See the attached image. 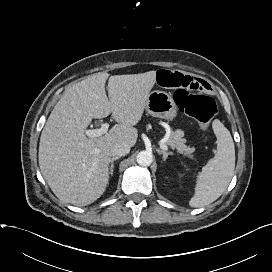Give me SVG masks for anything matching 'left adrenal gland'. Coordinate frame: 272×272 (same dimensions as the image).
<instances>
[{
  "instance_id": "1",
  "label": "left adrenal gland",
  "mask_w": 272,
  "mask_h": 272,
  "mask_svg": "<svg viewBox=\"0 0 272 272\" xmlns=\"http://www.w3.org/2000/svg\"><path fill=\"white\" fill-rule=\"evenodd\" d=\"M157 152L159 153V154H162L163 155V161H166V159H167V157L169 156V155H172L173 153L172 152H167V151H164V150H157Z\"/></svg>"
}]
</instances>
